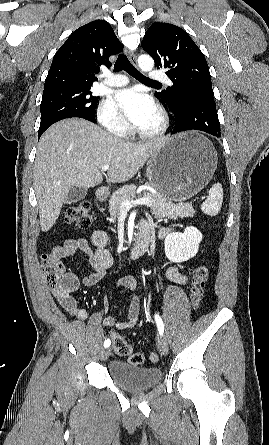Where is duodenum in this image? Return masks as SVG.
Segmentation results:
<instances>
[{
	"instance_id": "duodenum-1",
	"label": "duodenum",
	"mask_w": 269,
	"mask_h": 445,
	"mask_svg": "<svg viewBox=\"0 0 269 445\" xmlns=\"http://www.w3.org/2000/svg\"><path fill=\"white\" fill-rule=\"evenodd\" d=\"M97 196L100 200L107 197V192L104 189H99ZM151 243V234L149 231H140L137 239L127 248V255L129 258H137L145 253Z\"/></svg>"
}]
</instances>
